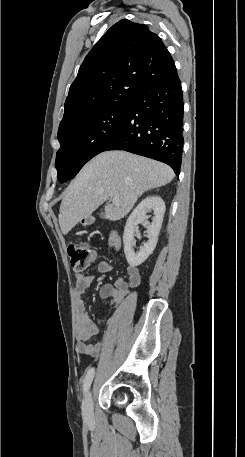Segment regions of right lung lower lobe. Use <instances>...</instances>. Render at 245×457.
<instances>
[{"label": "right lung lower lobe", "mask_w": 245, "mask_h": 457, "mask_svg": "<svg viewBox=\"0 0 245 457\" xmlns=\"http://www.w3.org/2000/svg\"><path fill=\"white\" fill-rule=\"evenodd\" d=\"M183 94L177 71L146 84L103 151L125 150L170 165L177 177L183 151Z\"/></svg>", "instance_id": "obj_1"}]
</instances>
